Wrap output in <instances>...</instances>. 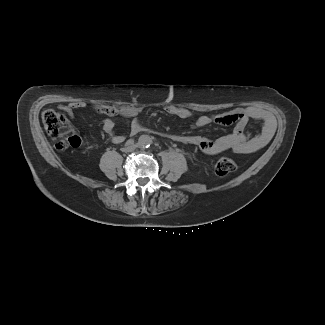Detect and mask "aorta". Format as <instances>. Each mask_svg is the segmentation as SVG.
<instances>
[{
    "mask_svg": "<svg viewBox=\"0 0 325 325\" xmlns=\"http://www.w3.org/2000/svg\"><path fill=\"white\" fill-rule=\"evenodd\" d=\"M138 144L142 148H147L152 144V138L149 135H141L138 139Z\"/></svg>",
    "mask_w": 325,
    "mask_h": 325,
    "instance_id": "aorta-1",
    "label": "aorta"
}]
</instances>
